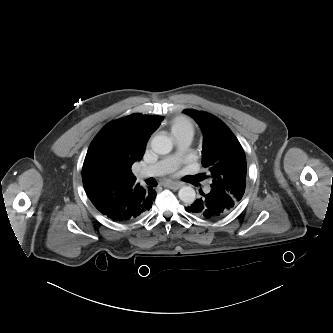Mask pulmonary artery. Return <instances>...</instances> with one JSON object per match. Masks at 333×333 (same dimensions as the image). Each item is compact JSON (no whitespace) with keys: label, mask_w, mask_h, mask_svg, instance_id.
<instances>
[{"label":"pulmonary artery","mask_w":333,"mask_h":333,"mask_svg":"<svg viewBox=\"0 0 333 333\" xmlns=\"http://www.w3.org/2000/svg\"><path fill=\"white\" fill-rule=\"evenodd\" d=\"M192 139V132H186L175 136V142L177 145L176 154L155 164L142 168L138 172V178L144 179L148 177H155L173 170L177 163L187 154Z\"/></svg>","instance_id":"1"}]
</instances>
